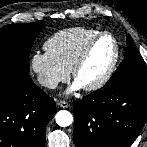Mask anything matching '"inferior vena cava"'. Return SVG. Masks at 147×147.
<instances>
[{
	"label": "inferior vena cava",
	"instance_id": "1",
	"mask_svg": "<svg viewBox=\"0 0 147 147\" xmlns=\"http://www.w3.org/2000/svg\"><path fill=\"white\" fill-rule=\"evenodd\" d=\"M38 81L40 85L47 87L49 89H55L57 87V82L49 78L39 77Z\"/></svg>",
	"mask_w": 147,
	"mask_h": 147
}]
</instances>
